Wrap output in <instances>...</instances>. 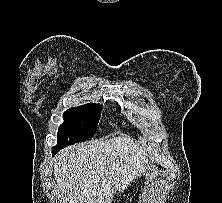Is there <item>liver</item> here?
<instances>
[{
	"mask_svg": "<svg viewBox=\"0 0 222 203\" xmlns=\"http://www.w3.org/2000/svg\"><path fill=\"white\" fill-rule=\"evenodd\" d=\"M150 172L154 176L157 168L146 151L119 136L63 149L56 155L53 174L66 202L110 203L116 190L124 192L130 182Z\"/></svg>",
	"mask_w": 222,
	"mask_h": 203,
	"instance_id": "6515ba94",
	"label": "liver"
}]
</instances>
